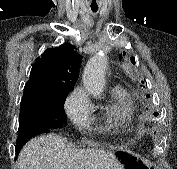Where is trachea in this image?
Returning a JSON list of instances; mask_svg holds the SVG:
<instances>
[{"instance_id":"1","label":"trachea","mask_w":177,"mask_h":169,"mask_svg":"<svg viewBox=\"0 0 177 169\" xmlns=\"http://www.w3.org/2000/svg\"><path fill=\"white\" fill-rule=\"evenodd\" d=\"M91 10H92L93 12H97L98 7H91Z\"/></svg>"}]
</instances>
